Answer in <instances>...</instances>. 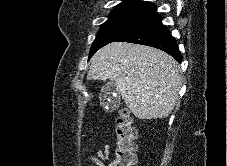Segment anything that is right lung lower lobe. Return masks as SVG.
<instances>
[{"mask_svg": "<svg viewBox=\"0 0 227 166\" xmlns=\"http://www.w3.org/2000/svg\"><path fill=\"white\" fill-rule=\"evenodd\" d=\"M118 41L155 47L167 52L178 62L182 61V56L175 39L172 37L166 26L162 24L161 18L156 12L134 29L113 42Z\"/></svg>", "mask_w": 227, "mask_h": 166, "instance_id": "98d812e1", "label": "right lung lower lobe"}]
</instances>
